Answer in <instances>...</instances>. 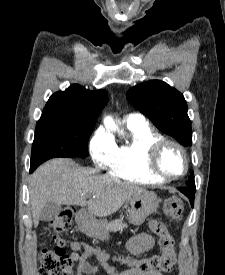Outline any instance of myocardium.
I'll list each match as a JSON object with an SVG mask.
<instances>
[{
  "label": "myocardium",
  "instance_id": "obj_1",
  "mask_svg": "<svg viewBox=\"0 0 225 275\" xmlns=\"http://www.w3.org/2000/svg\"><path fill=\"white\" fill-rule=\"evenodd\" d=\"M173 147L179 151L183 158L184 167L181 173L179 174H169L164 171L162 167V156L164 152L169 148ZM148 159H147V166L148 169L157 177H159L162 180H172V179H178L183 177L189 168V160L188 155L184 147L179 144L176 141L168 140V139H162L155 144L151 145L148 149L147 153Z\"/></svg>",
  "mask_w": 225,
  "mask_h": 275
}]
</instances>
